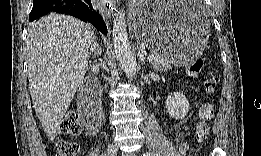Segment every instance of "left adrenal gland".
I'll return each instance as SVG.
<instances>
[{"mask_svg":"<svg viewBox=\"0 0 261 156\" xmlns=\"http://www.w3.org/2000/svg\"><path fill=\"white\" fill-rule=\"evenodd\" d=\"M138 56H139V59L141 61L142 64H145V55L144 53L142 52V50H139L138 49Z\"/></svg>","mask_w":261,"mask_h":156,"instance_id":"a2214340","label":"left adrenal gland"}]
</instances>
